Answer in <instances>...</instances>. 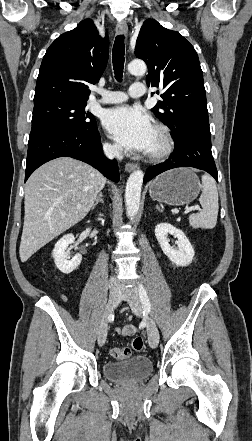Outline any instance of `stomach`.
Masks as SVG:
<instances>
[{"label":"stomach","mask_w":252,"mask_h":441,"mask_svg":"<svg viewBox=\"0 0 252 441\" xmlns=\"http://www.w3.org/2000/svg\"><path fill=\"white\" fill-rule=\"evenodd\" d=\"M201 184L188 168H176L156 177L149 187L153 200L180 206L192 202L199 194Z\"/></svg>","instance_id":"stomach-1"}]
</instances>
